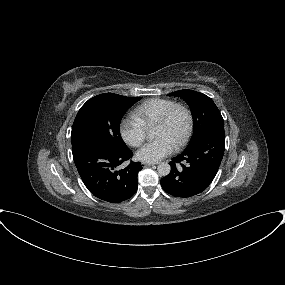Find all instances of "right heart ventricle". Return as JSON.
I'll return each mask as SVG.
<instances>
[{
	"label": "right heart ventricle",
	"instance_id": "obj_1",
	"mask_svg": "<svg viewBox=\"0 0 285 285\" xmlns=\"http://www.w3.org/2000/svg\"><path fill=\"white\" fill-rule=\"evenodd\" d=\"M176 104L171 99L155 98L147 100L135 109V115L142 121L146 128L156 124V122Z\"/></svg>",
	"mask_w": 285,
	"mask_h": 285
}]
</instances>
